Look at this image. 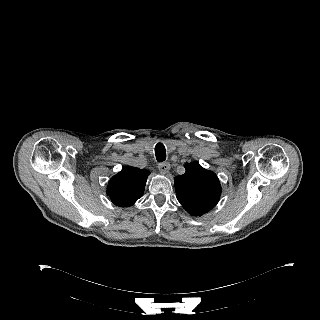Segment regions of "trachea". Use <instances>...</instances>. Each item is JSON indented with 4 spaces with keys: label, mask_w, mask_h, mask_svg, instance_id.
<instances>
[{
    "label": "trachea",
    "mask_w": 320,
    "mask_h": 320,
    "mask_svg": "<svg viewBox=\"0 0 320 320\" xmlns=\"http://www.w3.org/2000/svg\"><path fill=\"white\" fill-rule=\"evenodd\" d=\"M155 155L158 162H163L166 159L165 146L162 143H157L155 146Z\"/></svg>",
    "instance_id": "trachea-1"
}]
</instances>
